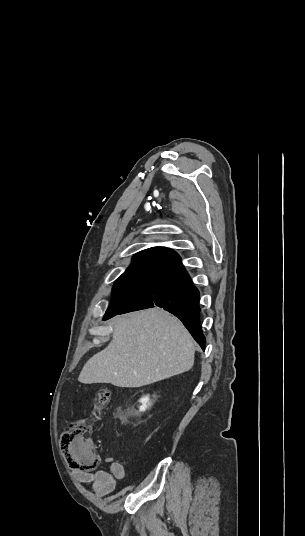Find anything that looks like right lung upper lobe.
Wrapping results in <instances>:
<instances>
[{
  "label": "right lung upper lobe",
  "mask_w": 305,
  "mask_h": 536,
  "mask_svg": "<svg viewBox=\"0 0 305 536\" xmlns=\"http://www.w3.org/2000/svg\"><path fill=\"white\" fill-rule=\"evenodd\" d=\"M185 270L179 255L168 248L153 247L136 253L131 266L120 276L169 277ZM119 277V278H120Z\"/></svg>",
  "instance_id": "1"
}]
</instances>
